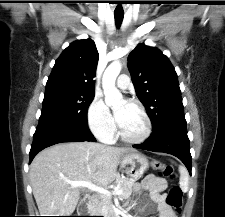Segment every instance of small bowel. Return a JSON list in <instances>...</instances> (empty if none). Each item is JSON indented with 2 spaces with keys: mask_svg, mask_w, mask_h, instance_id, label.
I'll use <instances>...</instances> for the list:
<instances>
[{
  "mask_svg": "<svg viewBox=\"0 0 225 217\" xmlns=\"http://www.w3.org/2000/svg\"><path fill=\"white\" fill-rule=\"evenodd\" d=\"M164 188L165 182L153 174L147 175L141 182L137 183L134 187L135 192L140 194L143 191H148L151 199L150 202L146 200L139 202V210L150 215V217H155L152 215L155 211L158 212L157 217H177L173 209L165 201V196L162 194ZM135 204L134 200H130L127 207L131 208Z\"/></svg>",
  "mask_w": 225,
  "mask_h": 217,
  "instance_id": "1",
  "label": "small bowel"
}]
</instances>
